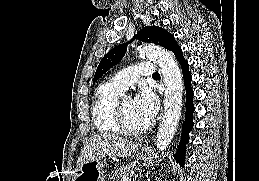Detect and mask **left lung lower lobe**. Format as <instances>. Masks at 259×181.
I'll use <instances>...</instances> for the list:
<instances>
[{
	"label": "left lung lower lobe",
	"mask_w": 259,
	"mask_h": 181,
	"mask_svg": "<svg viewBox=\"0 0 259 181\" xmlns=\"http://www.w3.org/2000/svg\"><path fill=\"white\" fill-rule=\"evenodd\" d=\"M174 55L176 56L177 60L179 61L182 72H183V77H184V84H185V89H186V113H185V120L182 125V136H181V141L178 146V150L175 154V158L180 164L183 166L185 162V145L189 141V132L193 128V113L195 111V107L193 105V90L191 87V81H192V76L189 72L188 68V62L185 60L182 50L180 46L177 44H173L170 49Z\"/></svg>",
	"instance_id": "obj_1"
}]
</instances>
